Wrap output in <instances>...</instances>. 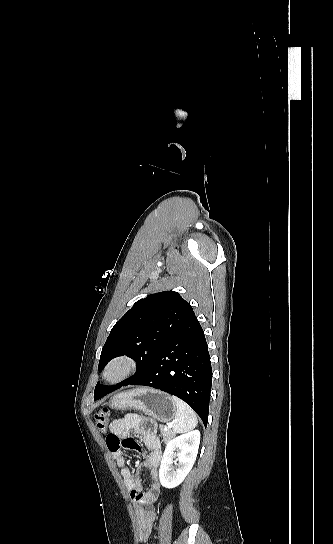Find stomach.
<instances>
[{"label": "stomach", "mask_w": 333, "mask_h": 544, "mask_svg": "<svg viewBox=\"0 0 333 544\" xmlns=\"http://www.w3.org/2000/svg\"><path fill=\"white\" fill-rule=\"evenodd\" d=\"M109 406L119 410H138L160 422L171 421L175 417L177 410L172 396L145 387L121 392L113 396Z\"/></svg>", "instance_id": "obj_1"}]
</instances>
